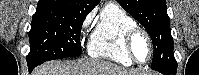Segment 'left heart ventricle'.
Returning <instances> with one entry per match:
<instances>
[{
	"label": "left heart ventricle",
	"mask_w": 199,
	"mask_h": 75,
	"mask_svg": "<svg viewBox=\"0 0 199 75\" xmlns=\"http://www.w3.org/2000/svg\"><path fill=\"white\" fill-rule=\"evenodd\" d=\"M133 51L136 58L140 62H145L149 56V44L146 38L142 35H137L133 41Z\"/></svg>",
	"instance_id": "b2bd125f"
}]
</instances>
